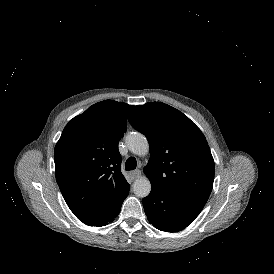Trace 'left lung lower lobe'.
<instances>
[{"label": "left lung lower lobe", "instance_id": "1", "mask_svg": "<svg viewBox=\"0 0 274 274\" xmlns=\"http://www.w3.org/2000/svg\"><path fill=\"white\" fill-rule=\"evenodd\" d=\"M144 211L154 227L176 232L187 227L201 212L204 204L180 198L151 185L150 194L143 199Z\"/></svg>", "mask_w": 274, "mask_h": 274}]
</instances>
